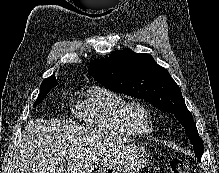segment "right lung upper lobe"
I'll list each match as a JSON object with an SVG mask.
<instances>
[{
  "mask_svg": "<svg viewBox=\"0 0 219 173\" xmlns=\"http://www.w3.org/2000/svg\"><path fill=\"white\" fill-rule=\"evenodd\" d=\"M46 79H54L55 83H57L56 80H55L56 78H55L54 75H53V76H50L49 78H46ZM44 80H45V79H44Z\"/></svg>",
  "mask_w": 219,
  "mask_h": 173,
  "instance_id": "cb5924a9",
  "label": "right lung upper lobe"
}]
</instances>
